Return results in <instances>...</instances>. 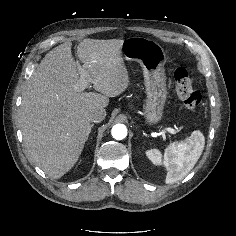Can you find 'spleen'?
<instances>
[{"instance_id":"1","label":"spleen","mask_w":236,"mask_h":236,"mask_svg":"<svg viewBox=\"0 0 236 236\" xmlns=\"http://www.w3.org/2000/svg\"><path fill=\"white\" fill-rule=\"evenodd\" d=\"M205 145L201 131L195 130L182 142L171 143L164 152L163 163L167 168L165 182L173 184L183 179L199 160ZM147 157L156 165L162 163V154L158 149L146 152Z\"/></svg>"}]
</instances>
